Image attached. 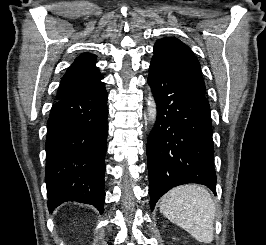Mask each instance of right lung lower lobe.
<instances>
[{
    "label": "right lung lower lobe",
    "mask_w": 266,
    "mask_h": 245,
    "mask_svg": "<svg viewBox=\"0 0 266 245\" xmlns=\"http://www.w3.org/2000/svg\"><path fill=\"white\" fill-rule=\"evenodd\" d=\"M107 97L100 81L72 90L52 106L45 173L50 212L67 201L103 212Z\"/></svg>",
    "instance_id": "obj_1"
}]
</instances>
